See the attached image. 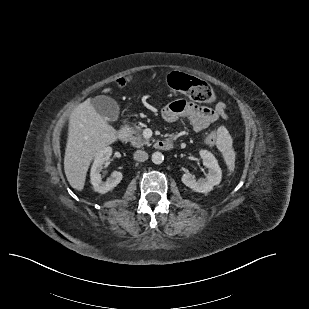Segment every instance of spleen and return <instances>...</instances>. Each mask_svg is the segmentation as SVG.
I'll return each mask as SVG.
<instances>
[{"label":"spleen","mask_w":309,"mask_h":309,"mask_svg":"<svg viewBox=\"0 0 309 309\" xmlns=\"http://www.w3.org/2000/svg\"><path fill=\"white\" fill-rule=\"evenodd\" d=\"M217 136V148L222 153L228 169L233 171L235 168V151L232 148V138L224 126L218 128Z\"/></svg>","instance_id":"1"}]
</instances>
